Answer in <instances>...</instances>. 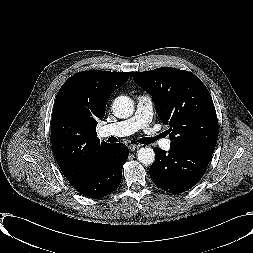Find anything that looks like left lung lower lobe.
<instances>
[{
	"instance_id": "1",
	"label": "left lung lower lobe",
	"mask_w": 253,
	"mask_h": 253,
	"mask_svg": "<svg viewBox=\"0 0 253 253\" xmlns=\"http://www.w3.org/2000/svg\"><path fill=\"white\" fill-rule=\"evenodd\" d=\"M156 159L150 166L152 182L173 194L192 188L204 175L212 153L190 148L171 147L169 152L154 148Z\"/></svg>"
}]
</instances>
